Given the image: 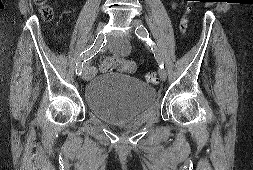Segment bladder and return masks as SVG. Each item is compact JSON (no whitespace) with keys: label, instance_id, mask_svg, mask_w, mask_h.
I'll list each match as a JSON object with an SVG mask.
<instances>
[{"label":"bladder","instance_id":"1","mask_svg":"<svg viewBox=\"0 0 253 170\" xmlns=\"http://www.w3.org/2000/svg\"><path fill=\"white\" fill-rule=\"evenodd\" d=\"M83 96L88 109L99 119L124 125L154 106L156 90L134 76L105 72L85 84Z\"/></svg>","mask_w":253,"mask_h":170}]
</instances>
